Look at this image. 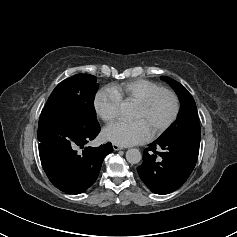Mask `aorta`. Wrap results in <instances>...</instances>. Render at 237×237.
Listing matches in <instances>:
<instances>
[{
  "label": "aorta",
  "mask_w": 237,
  "mask_h": 237,
  "mask_svg": "<svg viewBox=\"0 0 237 237\" xmlns=\"http://www.w3.org/2000/svg\"><path fill=\"white\" fill-rule=\"evenodd\" d=\"M122 112L124 114H127L128 113V109L126 107H123L122 108ZM126 159L131 164H137V163H139L141 161L142 154H141V152L138 149L131 148V149H128L127 152H126Z\"/></svg>",
  "instance_id": "762f6f07"
}]
</instances>
